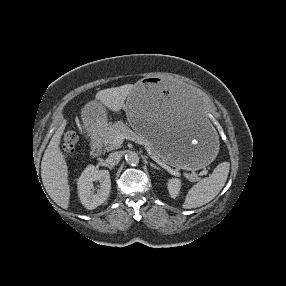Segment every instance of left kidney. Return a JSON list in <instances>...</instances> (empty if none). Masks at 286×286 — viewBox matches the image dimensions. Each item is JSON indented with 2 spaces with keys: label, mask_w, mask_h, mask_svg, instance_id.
<instances>
[{
  "label": "left kidney",
  "mask_w": 286,
  "mask_h": 286,
  "mask_svg": "<svg viewBox=\"0 0 286 286\" xmlns=\"http://www.w3.org/2000/svg\"><path fill=\"white\" fill-rule=\"evenodd\" d=\"M181 180L179 179H170L168 181V191L172 198H176L180 192Z\"/></svg>",
  "instance_id": "left-kidney-1"
}]
</instances>
